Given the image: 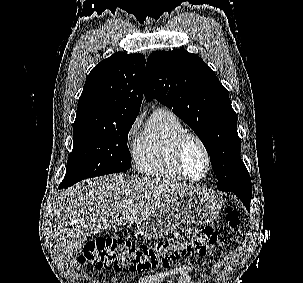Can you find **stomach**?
<instances>
[{"instance_id": "obj_1", "label": "stomach", "mask_w": 303, "mask_h": 283, "mask_svg": "<svg viewBox=\"0 0 303 283\" xmlns=\"http://www.w3.org/2000/svg\"><path fill=\"white\" fill-rule=\"evenodd\" d=\"M215 195L197 192L174 199L161 210L137 223L138 233L146 239L157 240L174 231L180 223L207 224L215 220L221 209Z\"/></svg>"}]
</instances>
